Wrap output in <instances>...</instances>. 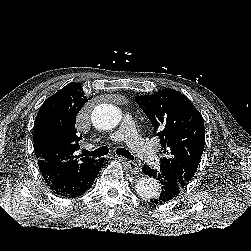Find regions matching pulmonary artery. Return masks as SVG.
I'll return each mask as SVG.
<instances>
[{
    "label": "pulmonary artery",
    "instance_id": "1",
    "mask_svg": "<svg viewBox=\"0 0 251 251\" xmlns=\"http://www.w3.org/2000/svg\"><path fill=\"white\" fill-rule=\"evenodd\" d=\"M113 141H124L130 148L138 154L145 162L157 166V154L151 146L143 140L137 133L129 116L126 115L125 123L119 130L112 134Z\"/></svg>",
    "mask_w": 251,
    "mask_h": 251
}]
</instances>
